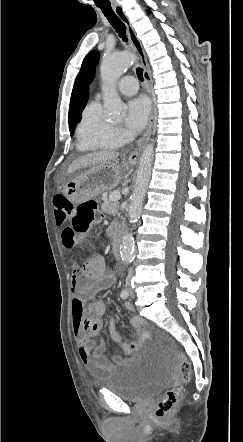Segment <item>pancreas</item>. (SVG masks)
Returning a JSON list of instances; mask_svg holds the SVG:
<instances>
[{
  "label": "pancreas",
  "instance_id": "obj_1",
  "mask_svg": "<svg viewBox=\"0 0 243 442\" xmlns=\"http://www.w3.org/2000/svg\"><path fill=\"white\" fill-rule=\"evenodd\" d=\"M101 209L107 214L115 215L119 211V203L112 202L110 199H104V202L101 204Z\"/></svg>",
  "mask_w": 243,
  "mask_h": 442
}]
</instances>
